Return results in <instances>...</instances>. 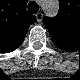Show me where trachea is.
<instances>
[{"label":"trachea","instance_id":"3493384b","mask_svg":"<svg viewBox=\"0 0 80 80\" xmlns=\"http://www.w3.org/2000/svg\"><path fill=\"white\" fill-rule=\"evenodd\" d=\"M27 8H28V11H29L30 13L35 14V13H37L38 10H39V5H38L36 2L31 1V2H29Z\"/></svg>","mask_w":80,"mask_h":80}]
</instances>
